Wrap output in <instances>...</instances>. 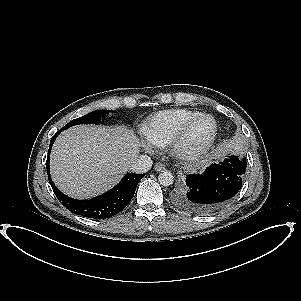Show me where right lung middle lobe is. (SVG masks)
I'll list each match as a JSON object with an SVG mask.
<instances>
[{"label":"right lung middle lobe","instance_id":"right-lung-middle-lobe-1","mask_svg":"<svg viewBox=\"0 0 301 301\" xmlns=\"http://www.w3.org/2000/svg\"><path fill=\"white\" fill-rule=\"evenodd\" d=\"M108 112H112V111H108V110H96L93 111L85 116H82L80 118L74 119L72 121H70L67 125H65L62 129L65 130L73 125H77V124H83V123H94V124H98L101 117H103L104 115L108 114Z\"/></svg>","mask_w":301,"mask_h":301}]
</instances>
